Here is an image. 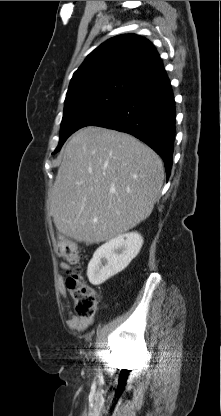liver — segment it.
I'll return each mask as SVG.
<instances>
[{
    "mask_svg": "<svg viewBox=\"0 0 221 416\" xmlns=\"http://www.w3.org/2000/svg\"><path fill=\"white\" fill-rule=\"evenodd\" d=\"M164 180L161 158L134 136L88 126L65 146L50 195L56 229L87 245L150 216Z\"/></svg>",
    "mask_w": 221,
    "mask_h": 416,
    "instance_id": "6515ba94",
    "label": "liver"
}]
</instances>
